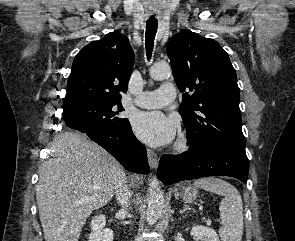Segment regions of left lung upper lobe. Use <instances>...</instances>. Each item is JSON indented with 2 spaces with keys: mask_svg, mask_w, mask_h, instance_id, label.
<instances>
[{
  "mask_svg": "<svg viewBox=\"0 0 295 241\" xmlns=\"http://www.w3.org/2000/svg\"><path fill=\"white\" fill-rule=\"evenodd\" d=\"M166 51L183 93L179 112L190 148L224 146L246 153L240 92L227 52L215 40L191 31L176 33Z\"/></svg>",
  "mask_w": 295,
  "mask_h": 241,
  "instance_id": "obj_1",
  "label": "left lung upper lobe"
}]
</instances>
